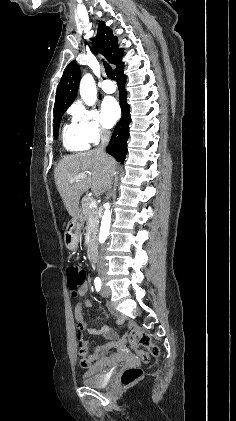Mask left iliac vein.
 Returning <instances> with one entry per match:
<instances>
[{"mask_svg":"<svg viewBox=\"0 0 236 421\" xmlns=\"http://www.w3.org/2000/svg\"><path fill=\"white\" fill-rule=\"evenodd\" d=\"M108 293H109V290L105 286H103L101 295L106 296V295H108Z\"/></svg>","mask_w":236,"mask_h":421,"instance_id":"1","label":"left iliac vein"}]
</instances>
